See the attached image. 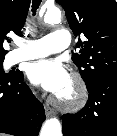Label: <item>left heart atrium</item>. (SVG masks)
Segmentation results:
<instances>
[{"mask_svg": "<svg viewBox=\"0 0 117 136\" xmlns=\"http://www.w3.org/2000/svg\"><path fill=\"white\" fill-rule=\"evenodd\" d=\"M27 73L33 83L56 95H61L71 83L67 69L56 59L37 60L30 64Z\"/></svg>", "mask_w": 117, "mask_h": 136, "instance_id": "39dd6f15", "label": "left heart atrium"}]
</instances>
